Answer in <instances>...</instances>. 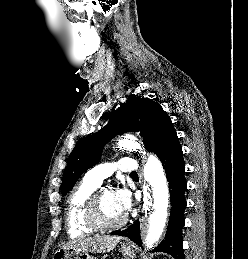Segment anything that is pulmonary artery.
<instances>
[{"instance_id":"1","label":"pulmonary artery","mask_w":248,"mask_h":259,"mask_svg":"<svg viewBox=\"0 0 248 259\" xmlns=\"http://www.w3.org/2000/svg\"><path fill=\"white\" fill-rule=\"evenodd\" d=\"M138 164L132 158H122L114 163H104L97 165L87 171L85 174V179L100 185L102 181L109 177L114 171H120L123 173H133L137 172Z\"/></svg>"}]
</instances>
